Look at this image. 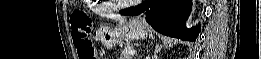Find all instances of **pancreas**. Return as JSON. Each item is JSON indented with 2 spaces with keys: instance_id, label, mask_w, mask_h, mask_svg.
<instances>
[{
  "instance_id": "cf45deb5",
  "label": "pancreas",
  "mask_w": 261,
  "mask_h": 59,
  "mask_svg": "<svg viewBox=\"0 0 261 59\" xmlns=\"http://www.w3.org/2000/svg\"><path fill=\"white\" fill-rule=\"evenodd\" d=\"M131 50H133V45L127 44L122 50L120 59H132L131 55L129 54Z\"/></svg>"
}]
</instances>
